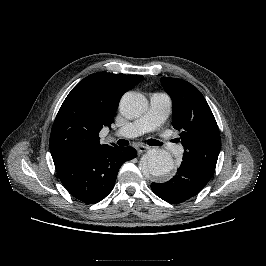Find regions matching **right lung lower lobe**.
Listing matches in <instances>:
<instances>
[{
  "mask_svg": "<svg viewBox=\"0 0 266 266\" xmlns=\"http://www.w3.org/2000/svg\"><path fill=\"white\" fill-rule=\"evenodd\" d=\"M136 155L134 148L114 144L57 157L53 161L69 193L86 204H95L112 191L121 165Z\"/></svg>",
  "mask_w": 266,
  "mask_h": 266,
  "instance_id": "98d812e1",
  "label": "right lung lower lobe"
}]
</instances>
